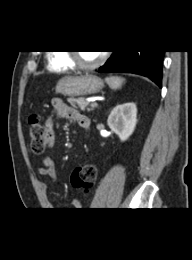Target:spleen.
Here are the masks:
<instances>
[{"label": "spleen", "mask_w": 192, "mask_h": 260, "mask_svg": "<svg viewBox=\"0 0 192 260\" xmlns=\"http://www.w3.org/2000/svg\"><path fill=\"white\" fill-rule=\"evenodd\" d=\"M107 84L111 89L118 90L121 89L122 85L125 83V79L119 76H110L105 79Z\"/></svg>", "instance_id": "spleen-1"}]
</instances>
